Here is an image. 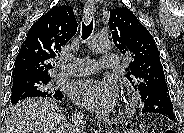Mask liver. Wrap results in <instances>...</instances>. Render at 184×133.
I'll use <instances>...</instances> for the list:
<instances>
[{
  "mask_svg": "<svg viewBox=\"0 0 184 133\" xmlns=\"http://www.w3.org/2000/svg\"><path fill=\"white\" fill-rule=\"evenodd\" d=\"M69 124L52 98H28L13 106L4 120V133H68Z\"/></svg>",
  "mask_w": 184,
  "mask_h": 133,
  "instance_id": "obj_1",
  "label": "liver"
}]
</instances>
